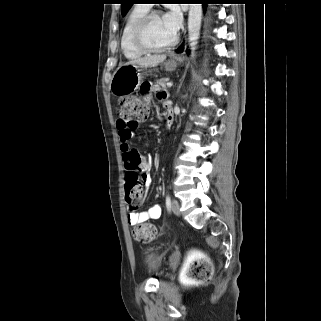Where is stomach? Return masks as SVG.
<instances>
[{
	"mask_svg": "<svg viewBox=\"0 0 321 321\" xmlns=\"http://www.w3.org/2000/svg\"><path fill=\"white\" fill-rule=\"evenodd\" d=\"M178 58L170 57L165 63L166 71H175L178 66ZM144 67L126 64L117 68L113 74L110 90L114 95L125 96L138 88L142 80Z\"/></svg>",
	"mask_w": 321,
	"mask_h": 321,
	"instance_id": "obj_1",
	"label": "stomach"
}]
</instances>
